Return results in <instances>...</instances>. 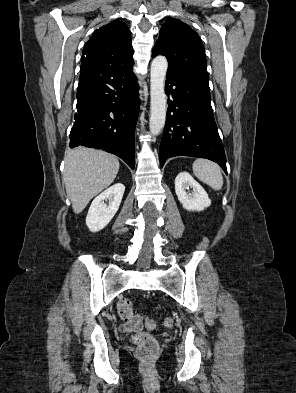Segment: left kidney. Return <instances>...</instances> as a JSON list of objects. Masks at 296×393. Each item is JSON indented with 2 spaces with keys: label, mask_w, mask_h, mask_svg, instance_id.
<instances>
[{
  "label": "left kidney",
  "mask_w": 296,
  "mask_h": 393,
  "mask_svg": "<svg viewBox=\"0 0 296 393\" xmlns=\"http://www.w3.org/2000/svg\"><path fill=\"white\" fill-rule=\"evenodd\" d=\"M192 188L188 194L186 189ZM175 192L183 208L188 211H203L211 205V200L203 187L186 171L175 178Z\"/></svg>",
  "instance_id": "5707ae66"
}]
</instances>
